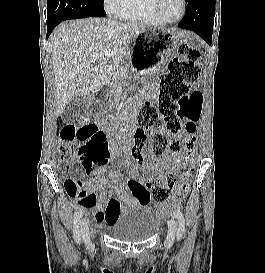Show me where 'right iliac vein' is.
Listing matches in <instances>:
<instances>
[{"label":"right iliac vein","mask_w":265,"mask_h":273,"mask_svg":"<svg viewBox=\"0 0 265 273\" xmlns=\"http://www.w3.org/2000/svg\"><path fill=\"white\" fill-rule=\"evenodd\" d=\"M81 234H82V238L83 241L86 245H90L91 244V237H90V232H89V226H88V220L86 218H83L81 220Z\"/></svg>","instance_id":"obj_1"}]
</instances>
